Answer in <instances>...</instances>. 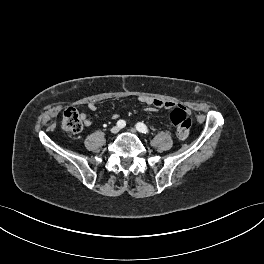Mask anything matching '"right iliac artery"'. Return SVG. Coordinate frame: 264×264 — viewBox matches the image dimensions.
<instances>
[{"instance_id": "82829eb1", "label": "right iliac artery", "mask_w": 264, "mask_h": 264, "mask_svg": "<svg viewBox=\"0 0 264 264\" xmlns=\"http://www.w3.org/2000/svg\"><path fill=\"white\" fill-rule=\"evenodd\" d=\"M117 126H118L119 128H124V127L126 126V122H125L124 120H119V121L117 122Z\"/></svg>"}]
</instances>
